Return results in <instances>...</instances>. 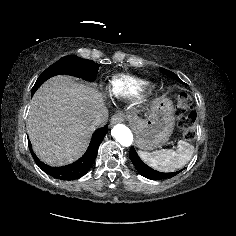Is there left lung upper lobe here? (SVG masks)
Listing matches in <instances>:
<instances>
[{
    "mask_svg": "<svg viewBox=\"0 0 236 236\" xmlns=\"http://www.w3.org/2000/svg\"><path fill=\"white\" fill-rule=\"evenodd\" d=\"M160 70H161V72H162L163 74H165V75H167V76H169V77H171V78H173V79H175V80H177V81L183 83V82L179 79V77H178L176 74H174L173 72L168 71V70H166V69H164V68H160ZM149 171H150V172H153V170H149ZM150 174L154 175V173H150Z\"/></svg>",
    "mask_w": 236,
    "mask_h": 236,
    "instance_id": "left-lung-upper-lobe-1",
    "label": "left lung upper lobe"
}]
</instances>
